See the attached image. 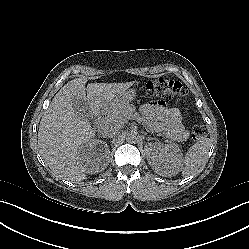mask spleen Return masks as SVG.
I'll use <instances>...</instances> for the list:
<instances>
[{
    "label": "spleen",
    "instance_id": "1",
    "mask_svg": "<svg viewBox=\"0 0 249 249\" xmlns=\"http://www.w3.org/2000/svg\"><path fill=\"white\" fill-rule=\"evenodd\" d=\"M209 146L208 142L196 143L189 150L188 154L185 156V159H180L176 155L172 157V162H183L185 163V169H196L198 168L205 160L206 147Z\"/></svg>",
    "mask_w": 249,
    "mask_h": 249
}]
</instances>
